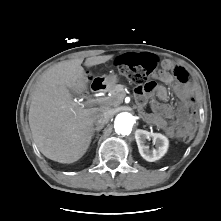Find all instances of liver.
<instances>
[{
  "label": "liver",
  "instance_id": "6515ba94",
  "mask_svg": "<svg viewBox=\"0 0 221 221\" xmlns=\"http://www.w3.org/2000/svg\"><path fill=\"white\" fill-rule=\"evenodd\" d=\"M113 55L93 56L86 67L107 62ZM82 59H73L47 69L35 85L29 108V126L40 152L60 163L79 160L91 143L94 115L104 108H84L73 101L69 89L81 93L88 88Z\"/></svg>",
  "mask_w": 221,
  "mask_h": 221
}]
</instances>
